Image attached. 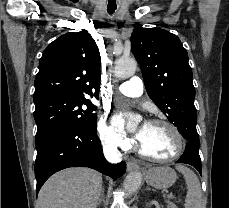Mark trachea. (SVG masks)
<instances>
[{
	"label": "trachea",
	"instance_id": "1",
	"mask_svg": "<svg viewBox=\"0 0 229 208\" xmlns=\"http://www.w3.org/2000/svg\"><path fill=\"white\" fill-rule=\"evenodd\" d=\"M116 10V7H107V11L109 14H113Z\"/></svg>",
	"mask_w": 229,
	"mask_h": 208
}]
</instances>
